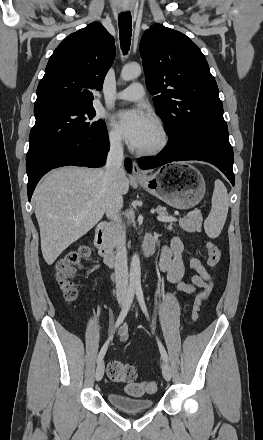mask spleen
Segmentation results:
<instances>
[{"instance_id": "spleen-1", "label": "spleen", "mask_w": 263, "mask_h": 440, "mask_svg": "<svg viewBox=\"0 0 263 440\" xmlns=\"http://www.w3.org/2000/svg\"><path fill=\"white\" fill-rule=\"evenodd\" d=\"M212 208L204 222V229L208 237L214 239L218 237L225 224L228 208L229 196L223 182L217 179L214 183L212 196Z\"/></svg>"}]
</instances>
